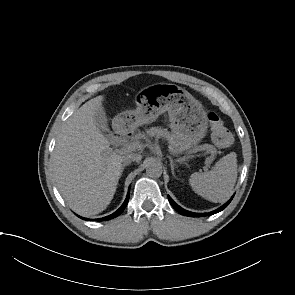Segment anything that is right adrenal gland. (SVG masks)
<instances>
[{"instance_id":"obj_1","label":"right adrenal gland","mask_w":295,"mask_h":295,"mask_svg":"<svg viewBox=\"0 0 295 295\" xmlns=\"http://www.w3.org/2000/svg\"><path fill=\"white\" fill-rule=\"evenodd\" d=\"M129 164H130V163H128V162L123 163L122 168H121V175H122V172H123L125 166H128ZM121 175H120V176H121Z\"/></svg>"}]
</instances>
